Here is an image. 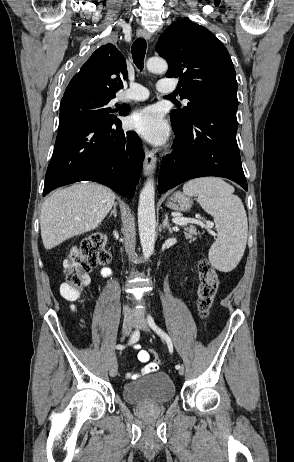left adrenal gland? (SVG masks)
Returning a JSON list of instances; mask_svg holds the SVG:
<instances>
[{
	"label": "left adrenal gland",
	"instance_id": "1",
	"mask_svg": "<svg viewBox=\"0 0 294 462\" xmlns=\"http://www.w3.org/2000/svg\"><path fill=\"white\" fill-rule=\"evenodd\" d=\"M162 227H163V229H167L170 234L173 233V228H172V225L168 221V214L167 213L165 214V219L163 221Z\"/></svg>",
	"mask_w": 294,
	"mask_h": 462
}]
</instances>
